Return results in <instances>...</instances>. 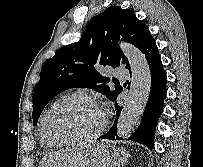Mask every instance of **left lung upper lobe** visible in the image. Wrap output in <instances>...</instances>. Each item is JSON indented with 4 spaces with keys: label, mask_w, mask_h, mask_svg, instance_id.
Instances as JSON below:
<instances>
[{
    "label": "left lung upper lobe",
    "mask_w": 203,
    "mask_h": 167,
    "mask_svg": "<svg viewBox=\"0 0 203 167\" xmlns=\"http://www.w3.org/2000/svg\"><path fill=\"white\" fill-rule=\"evenodd\" d=\"M119 39L143 51L153 37L132 10L111 6L90 20L78 42L62 47L45 62L34 91V125L48 102L69 88L94 89L116 101L123 88L115 86V90H110L106 85L110 79L98 70L101 66L121 64L130 68L128 59L117 46Z\"/></svg>",
    "instance_id": "obj_1"
}]
</instances>
